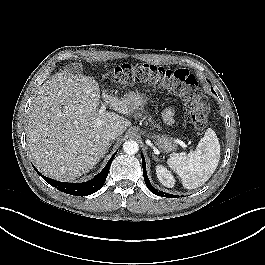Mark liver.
I'll return each instance as SVG.
<instances>
[{
  "label": "liver",
  "instance_id": "6515ba94",
  "mask_svg": "<svg viewBox=\"0 0 265 265\" xmlns=\"http://www.w3.org/2000/svg\"><path fill=\"white\" fill-rule=\"evenodd\" d=\"M104 101L121 113L131 114L130 97L103 92ZM100 90L90 76L65 69L39 89L28 116L27 142L37 168L59 181H72L91 170L110 148L108 131L121 136L131 125L115 112L98 114Z\"/></svg>",
  "mask_w": 265,
  "mask_h": 265
}]
</instances>
